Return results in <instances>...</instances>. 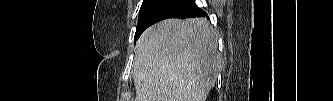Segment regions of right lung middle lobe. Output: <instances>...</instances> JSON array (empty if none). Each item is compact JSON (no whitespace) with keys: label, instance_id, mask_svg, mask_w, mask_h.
<instances>
[{"label":"right lung middle lobe","instance_id":"dd1d6c3e","mask_svg":"<svg viewBox=\"0 0 333 101\" xmlns=\"http://www.w3.org/2000/svg\"><path fill=\"white\" fill-rule=\"evenodd\" d=\"M147 2H149V0H143V3H142V4H145V3H147Z\"/></svg>","mask_w":333,"mask_h":101}]
</instances>
